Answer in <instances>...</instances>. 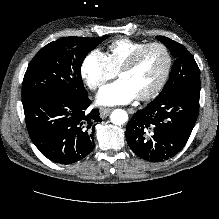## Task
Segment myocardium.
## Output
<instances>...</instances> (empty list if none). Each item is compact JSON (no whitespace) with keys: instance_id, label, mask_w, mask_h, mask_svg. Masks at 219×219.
<instances>
[{"instance_id":"f54148a6","label":"myocardium","mask_w":219,"mask_h":219,"mask_svg":"<svg viewBox=\"0 0 219 219\" xmlns=\"http://www.w3.org/2000/svg\"><path fill=\"white\" fill-rule=\"evenodd\" d=\"M152 47H159L161 48L165 55H166V67L165 70L160 78V80L156 83V85L148 92L138 95L137 99L139 100H149L151 98H154L156 95L160 93V91L164 88L166 85L168 78L170 76L172 66H173V58L172 54L169 50V48L162 42H149L146 43L144 46L139 48L136 52H134L124 63L123 65L118 69L117 75L119 76L122 72L128 71L131 68H133L136 63L139 61L140 57L143 55V53Z\"/></svg>"}]
</instances>
